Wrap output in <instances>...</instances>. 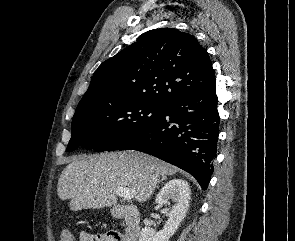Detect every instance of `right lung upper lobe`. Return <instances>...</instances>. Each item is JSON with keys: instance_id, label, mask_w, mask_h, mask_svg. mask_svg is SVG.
Segmentation results:
<instances>
[{"instance_id": "1", "label": "right lung upper lobe", "mask_w": 295, "mask_h": 241, "mask_svg": "<svg viewBox=\"0 0 295 241\" xmlns=\"http://www.w3.org/2000/svg\"><path fill=\"white\" fill-rule=\"evenodd\" d=\"M214 81L208 53L194 36L159 28L143 33L135 43L103 62L83 98L114 94L163 106Z\"/></svg>"}]
</instances>
